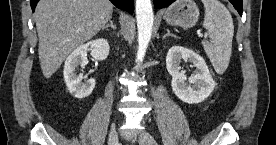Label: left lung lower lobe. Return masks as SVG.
I'll return each mask as SVG.
<instances>
[{"instance_id":"obj_1","label":"left lung lower lobe","mask_w":276,"mask_h":145,"mask_svg":"<svg viewBox=\"0 0 276 145\" xmlns=\"http://www.w3.org/2000/svg\"><path fill=\"white\" fill-rule=\"evenodd\" d=\"M155 7L158 9L164 8L168 5H170L172 2H174L175 0H153ZM233 6L235 7V9L238 11V13L242 16V4H243V0H229Z\"/></svg>"}]
</instances>
